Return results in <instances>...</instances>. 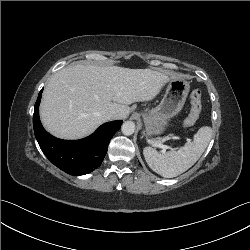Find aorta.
<instances>
[{
    "label": "aorta",
    "mask_w": 250,
    "mask_h": 250,
    "mask_svg": "<svg viewBox=\"0 0 250 250\" xmlns=\"http://www.w3.org/2000/svg\"><path fill=\"white\" fill-rule=\"evenodd\" d=\"M122 133L124 135H132L135 131V124L132 121H126L123 123L122 127H121Z\"/></svg>",
    "instance_id": "1"
}]
</instances>
